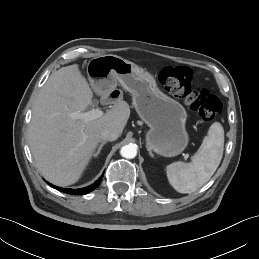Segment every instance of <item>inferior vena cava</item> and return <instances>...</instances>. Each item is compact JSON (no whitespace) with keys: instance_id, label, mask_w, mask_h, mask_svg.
<instances>
[{"instance_id":"inferior-vena-cava-1","label":"inferior vena cava","mask_w":259,"mask_h":259,"mask_svg":"<svg viewBox=\"0 0 259 259\" xmlns=\"http://www.w3.org/2000/svg\"><path fill=\"white\" fill-rule=\"evenodd\" d=\"M118 137V132L112 129H105L100 136L102 141H114L118 139Z\"/></svg>"}]
</instances>
